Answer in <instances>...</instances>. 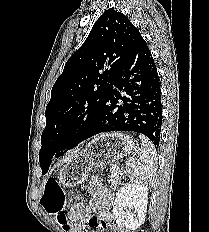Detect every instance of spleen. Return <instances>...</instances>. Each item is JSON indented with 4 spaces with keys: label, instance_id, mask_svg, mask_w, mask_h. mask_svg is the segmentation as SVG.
<instances>
[{
    "label": "spleen",
    "instance_id": "1",
    "mask_svg": "<svg viewBox=\"0 0 209 232\" xmlns=\"http://www.w3.org/2000/svg\"><path fill=\"white\" fill-rule=\"evenodd\" d=\"M142 145L135 157L126 161V171L145 186L152 185L157 170V154L152 142L143 135L139 136Z\"/></svg>",
    "mask_w": 209,
    "mask_h": 232
}]
</instances>
